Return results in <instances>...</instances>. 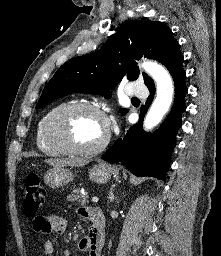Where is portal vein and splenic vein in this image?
I'll return each instance as SVG.
<instances>
[{"mask_svg":"<svg viewBox=\"0 0 221 256\" xmlns=\"http://www.w3.org/2000/svg\"><path fill=\"white\" fill-rule=\"evenodd\" d=\"M99 201L98 197L94 196L92 197V202L97 203Z\"/></svg>","mask_w":221,"mask_h":256,"instance_id":"1","label":"portal vein and splenic vein"}]
</instances>
